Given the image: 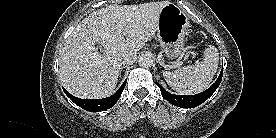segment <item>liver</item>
Segmentation results:
<instances>
[{
	"mask_svg": "<svg viewBox=\"0 0 276 138\" xmlns=\"http://www.w3.org/2000/svg\"><path fill=\"white\" fill-rule=\"evenodd\" d=\"M168 1L139 5H110L83 19L67 38L59 74L72 95L86 99L108 97L114 91L125 52H137L158 29L159 14ZM96 44L104 51L98 52Z\"/></svg>",
	"mask_w": 276,
	"mask_h": 138,
	"instance_id": "liver-1",
	"label": "liver"
}]
</instances>
